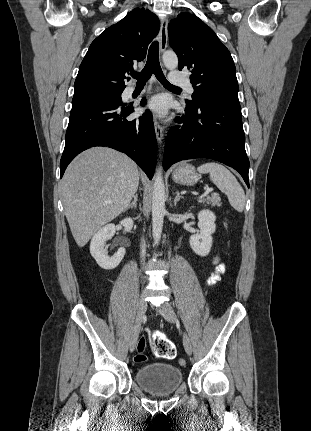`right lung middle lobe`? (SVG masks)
<instances>
[{
  "label": "right lung middle lobe",
  "instance_id": "1",
  "mask_svg": "<svg viewBox=\"0 0 311 431\" xmlns=\"http://www.w3.org/2000/svg\"><path fill=\"white\" fill-rule=\"evenodd\" d=\"M122 92H95V93H85L74 95L72 99V106L86 103V102H96L105 101L112 103H122L121 99Z\"/></svg>",
  "mask_w": 311,
  "mask_h": 431
}]
</instances>
